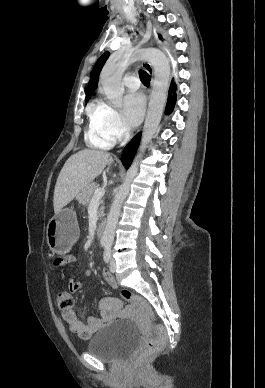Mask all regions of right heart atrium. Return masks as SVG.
Here are the masks:
<instances>
[{
	"label": "right heart atrium",
	"mask_w": 265,
	"mask_h": 388,
	"mask_svg": "<svg viewBox=\"0 0 265 388\" xmlns=\"http://www.w3.org/2000/svg\"><path fill=\"white\" fill-rule=\"evenodd\" d=\"M98 115L103 133L111 139H122L129 135L130 128L121 114L111 105L100 102Z\"/></svg>",
	"instance_id": "d8ad5b80"
}]
</instances>
